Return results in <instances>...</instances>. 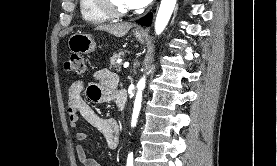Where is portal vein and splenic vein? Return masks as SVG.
Returning a JSON list of instances; mask_svg holds the SVG:
<instances>
[{
  "instance_id": "1",
  "label": "portal vein and splenic vein",
  "mask_w": 277,
  "mask_h": 166,
  "mask_svg": "<svg viewBox=\"0 0 277 166\" xmlns=\"http://www.w3.org/2000/svg\"><path fill=\"white\" fill-rule=\"evenodd\" d=\"M128 66H129L128 62H125L124 65H123L124 68H127Z\"/></svg>"
}]
</instances>
